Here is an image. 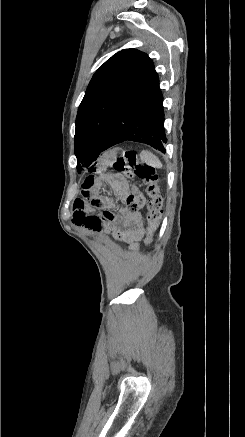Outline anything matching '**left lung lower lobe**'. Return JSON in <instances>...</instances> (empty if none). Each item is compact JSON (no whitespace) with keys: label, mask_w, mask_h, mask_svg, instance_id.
Segmentation results:
<instances>
[{"label":"left lung lower lobe","mask_w":245,"mask_h":437,"mask_svg":"<svg viewBox=\"0 0 245 437\" xmlns=\"http://www.w3.org/2000/svg\"><path fill=\"white\" fill-rule=\"evenodd\" d=\"M163 95L153 68L109 132L102 152L126 140L148 144L165 153Z\"/></svg>","instance_id":"left-lung-lower-lobe-1"}]
</instances>
